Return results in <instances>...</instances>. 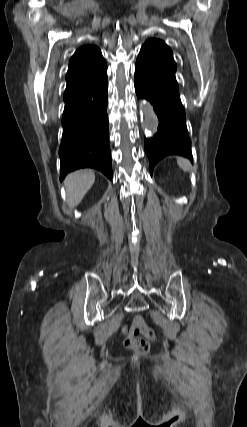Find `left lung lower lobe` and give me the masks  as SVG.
<instances>
[{
	"label": "left lung lower lobe",
	"mask_w": 247,
	"mask_h": 427,
	"mask_svg": "<svg viewBox=\"0 0 247 427\" xmlns=\"http://www.w3.org/2000/svg\"><path fill=\"white\" fill-rule=\"evenodd\" d=\"M134 85L137 96L150 101L160 121L158 132L144 140L151 174L155 165L169 155L183 156L192 162L191 141L178 85L139 57Z\"/></svg>",
	"instance_id": "obj_1"
}]
</instances>
